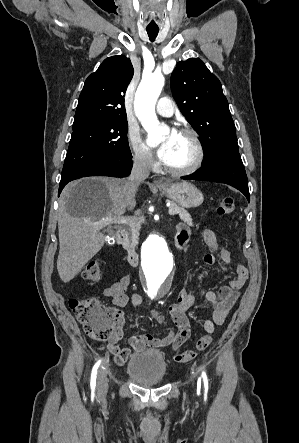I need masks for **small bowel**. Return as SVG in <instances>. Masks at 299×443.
Returning a JSON list of instances; mask_svg holds the SVG:
<instances>
[{
  "mask_svg": "<svg viewBox=\"0 0 299 443\" xmlns=\"http://www.w3.org/2000/svg\"><path fill=\"white\" fill-rule=\"evenodd\" d=\"M203 240L210 251L219 252V265L225 271L232 264L231 253L220 247L217 236L214 231L206 229L202 233ZM190 238V228L185 223L177 225L176 239L188 243ZM207 264L217 263L216 258L211 254H205L203 257ZM249 279V272L245 266L237 263L235 266V276L228 285L221 286L217 292L207 291L205 293L206 302L212 307V317L204 322V329L208 333H213L215 326L223 325L230 311L238 301L240 290ZM131 283V276L125 275L119 281L106 287L103 295L111 299L113 311L117 316V323L112 340L107 345L108 352L115 358L116 362L123 363L129 358L132 350L141 351L145 348H164L171 346L173 350L183 346L190 337V325L187 313L195 302L193 292L181 290L178 293L177 301L168 307L169 316L173 322V327L168 333L161 337H154L150 334L132 336L129 340L130 347L121 348L118 341L123 337V325L126 315L121 308L130 304L133 307L142 303V296L139 293H133L131 296L126 294V290ZM153 317L160 324L165 323L166 318L158 311L153 312Z\"/></svg>",
  "mask_w": 299,
  "mask_h": 443,
  "instance_id": "1",
  "label": "small bowel"
}]
</instances>
